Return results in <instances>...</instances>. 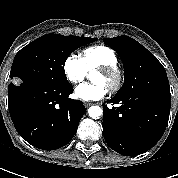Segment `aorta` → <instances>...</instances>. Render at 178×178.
Wrapping results in <instances>:
<instances>
[{"label": "aorta", "instance_id": "762f6f07", "mask_svg": "<svg viewBox=\"0 0 178 178\" xmlns=\"http://www.w3.org/2000/svg\"><path fill=\"white\" fill-rule=\"evenodd\" d=\"M103 111L99 106H91L88 109V114L93 119H99L102 115Z\"/></svg>", "mask_w": 178, "mask_h": 178}]
</instances>
